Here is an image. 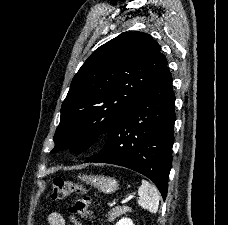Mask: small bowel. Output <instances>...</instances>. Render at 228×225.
Here are the masks:
<instances>
[{
    "instance_id": "small-bowel-1",
    "label": "small bowel",
    "mask_w": 228,
    "mask_h": 225,
    "mask_svg": "<svg viewBox=\"0 0 228 225\" xmlns=\"http://www.w3.org/2000/svg\"><path fill=\"white\" fill-rule=\"evenodd\" d=\"M69 219L71 225H82L81 221L73 215H71ZM47 222L48 225H66L64 217L58 212L49 213L47 216Z\"/></svg>"
}]
</instances>
